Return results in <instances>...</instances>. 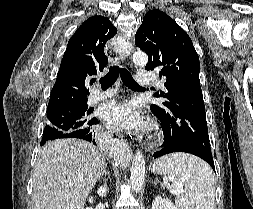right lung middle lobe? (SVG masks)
<instances>
[{"instance_id": "dd1d6c3e", "label": "right lung middle lobe", "mask_w": 253, "mask_h": 209, "mask_svg": "<svg viewBox=\"0 0 253 209\" xmlns=\"http://www.w3.org/2000/svg\"><path fill=\"white\" fill-rule=\"evenodd\" d=\"M90 113L87 110V103L63 106L47 111V123L44 129V135L51 136L57 132H72L86 128L92 124L93 117L90 116ZM48 141L51 140L43 138L40 145H44Z\"/></svg>"}]
</instances>
